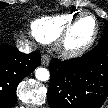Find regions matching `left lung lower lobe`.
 <instances>
[{"label":"left lung lower lobe","instance_id":"0a47b994","mask_svg":"<svg viewBox=\"0 0 108 108\" xmlns=\"http://www.w3.org/2000/svg\"><path fill=\"white\" fill-rule=\"evenodd\" d=\"M50 108H100L108 97V42L83 55L50 62Z\"/></svg>","mask_w":108,"mask_h":108}]
</instances>
